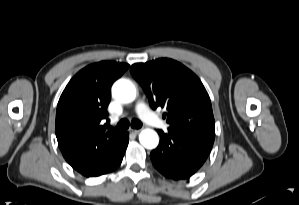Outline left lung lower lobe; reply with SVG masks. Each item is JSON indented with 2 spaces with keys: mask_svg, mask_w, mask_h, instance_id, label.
I'll return each instance as SVG.
<instances>
[{
  "mask_svg": "<svg viewBox=\"0 0 299 205\" xmlns=\"http://www.w3.org/2000/svg\"><path fill=\"white\" fill-rule=\"evenodd\" d=\"M159 146L150 154L154 167L166 178H190L206 161L215 136L158 131Z\"/></svg>",
  "mask_w": 299,
  "mask_h": 205,
  "instance_id": "1",
  "label": "left lung lower lobe"
}]
</instances>
